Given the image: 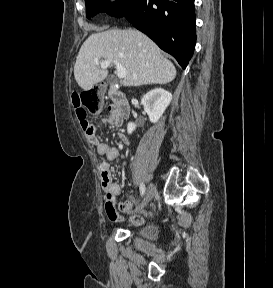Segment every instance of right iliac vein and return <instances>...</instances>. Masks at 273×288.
<instances>
[{"label": "right iliac vein", "instance_id": "right-iliac-vein-1", "mask_svg": "<svg viewBox=\"0 0 273 288\" xmlns=\"http://www.w3.org/2000/svg\"><path fill=\"white\" fill-rule=\"evenodd\" d=\"M154 193H155V187L154 185L151 183L149 186H148V189L146 191V195L142 201V203L140 204V206L137 208L136 211H139L143 208H145L148 203L150 202V200L152 199V197L154 196Z\"/></svg>", "mask_w": 273, "mask_h": 288}]
</instances>
